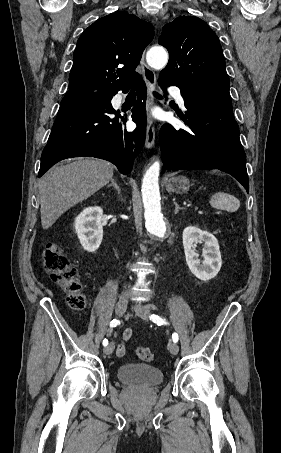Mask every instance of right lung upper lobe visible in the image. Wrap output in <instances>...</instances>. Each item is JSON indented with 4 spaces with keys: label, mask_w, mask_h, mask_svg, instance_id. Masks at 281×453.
<instances>
[{
    "label": "right lung upper lobe",
    "mask_w": 281,
    "mask_h": 453,
    "mask_svg": "<svg viewBox=\"0 0 281 453\" xmlns=\"http://www.w3.org/2000/svg\"><path fill=\"white\" fill-rule=\"evenodd\" d=\"M153 35L150 23L127 12L98 19L78 39L67 94L127 89L139 76L135 68Z\"/></svg>",
    "instance_id": "1"
}]
</instances>
